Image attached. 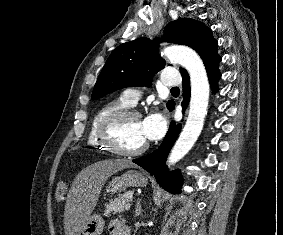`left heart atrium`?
Masks as SVG:
<instances>
[{"instance_id":"left-heart-atrium-1","label":"left heart atrium","mask_w":283,"mask_h":235,"mask_svg":"<svg viewBox=\"0 0 283 235\" xmlns=\"http://www.w3.org/2000/svg\"><path fill=\"white\" fill-rule=\"evenodd\" d=\"M166 119L161 113H152L142 120L141 127L145 139L157 140L166 131Z\"/></svg>"}]
</instances>
